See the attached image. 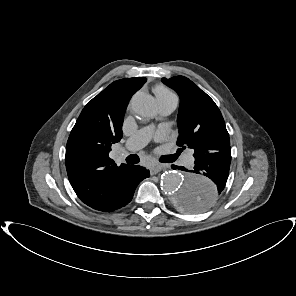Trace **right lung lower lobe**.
<instances>
[{"mask_svg":"<svg viewBox=\"0 0 296 296\" xmlns=\"http://www.w3.org/2000/svg\"><path fill=\"white\" fill-rule=\"evenodd\" d=\"M150 173L144 167L129 165L122 180L120 193L114 200L106 207L103 212H111L127 205L133 195L137 185L145 178H148Z\"/></svg>","mask_w":296,"mask_h":296,"instance_id":"98d812e1","label":"right lung lower lobe"}]
</instances>
